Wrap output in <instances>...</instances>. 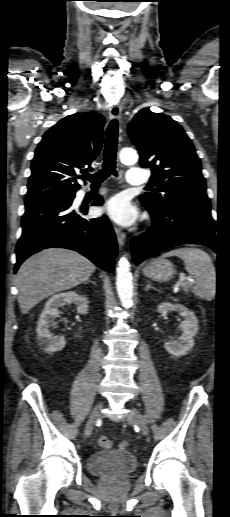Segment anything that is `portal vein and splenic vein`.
<instances>
[{"label": "portal vein and splenic vein", "instance_id": "portal-vein-and-splenic-vein-1", "mask_svg": "<svg viewBox=\"0 0 230 517\" xmlns=\"http://www.w3.org/2000/svg\"><path fill=\"white\" fill-rule=\"evenodd\" d=\"M186 281L193 282L194 280L191 277H186L185 275H181L178 285H184Z\"/></svg>", "mask_w": 230, "mask_h": 517}]
</instances>
